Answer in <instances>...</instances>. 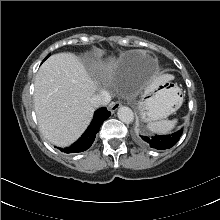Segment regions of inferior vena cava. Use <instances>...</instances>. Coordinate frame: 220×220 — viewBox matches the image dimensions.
<instances>
[{"label":"inferior vena cava","instance_id":"inferior-vena-cava-1","mask_svg":"<svg viewBox=\"0 0 220 220\" xmlns=\"http://www.w3.org/2000/svg\"><path fill=\"white\" fill-rule=\"evenodd\" d=\"M111 101V96L107 91H102L101 93L94 95L92 97V104L94 107H102L108 105Z\"/></svg>","mask_w":220,"mask_h":220}]
</instances>
